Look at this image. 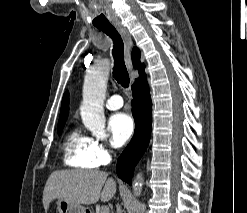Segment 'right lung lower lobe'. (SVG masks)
<instances>
[{"label": "right lung lower lobe", "instance_id": "1", "mask_svg": "<svg viewBox=\"0 0 247 213\" xmlns=\"http://www.w3.org/2000/svg\"><path fill=\"white\" fill-rule=\"evenodd\" d=\"M132 91L135 132L131 142L119 157L116 166L117 175L130 185L134 168L149 144L152 123V102L145 76L136 79Z\"/></svg>", "mask_w": 247, "mask_h": 213}]
</instances>
